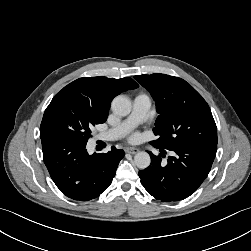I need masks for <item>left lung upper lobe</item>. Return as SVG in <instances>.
Masks as SVG:
<instances>
[{
  "label": "left lung upper lobe",
  "instance_id": "obj_1",
  "mask_svg": "<svg viewBox=\"0 0 251 251\" xmlns=\"http://www.w3.org/2000/svg\"><path fill=\"white\" fill-rule=\"evenodd\" d=\"M156 103L159 116L151 143L168 150L181 145H217V128L211 110L202 96L185 80L165 75L134 77Z\"/></svg>",
  "mask_w": 251,
  "mask_h": 251
}]
</instances>
